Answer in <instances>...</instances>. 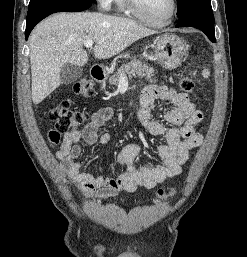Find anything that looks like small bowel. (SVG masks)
Returning <instances> with one entry per match:
<instances>
[{"mask_svg":"<svg viewBox=\"0 0 247 257\" xmlns=\"http://www.w3.org/2000/svg\"><path fill=\"white\" fill-rule=\"evenodd\" d=\"M157 99L172 104V108L163 115V121L151 117V110ZM113 116V109L100 108L93 113L82 130L66 131L55 153L81 194L86 197L94 196L98 201L114 197L120 191L135 192L139 188L153 189L164 184L181 173L182 165L189 159L191 150L203 142V136L195 129L202 121L203 114L190 102L188 95L166 86L150 85L141 93L137 117L151 134L165 137V143L156 148L162 163L136 167L135 160L141 149L135 143H128L118 154V162L125 168L118 178L81 172L78 157L82 152V142L89 145L108 143L110 134H100V129Z\"/></svg>","mask_w":247,"mask_h":257,"instance_id":"obj_1","label":"small bowel"}]
</instances>
